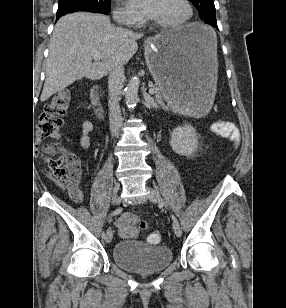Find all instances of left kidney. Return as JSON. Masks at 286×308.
<instances>
[{"mask_svg": "<svg viewBox=\"0 0 286 308\" xmlns=\"http://www.w3.org/2000/svg\"><path fill=\"white\" fill-rule=\"evenodd\" d=\"M170 146L179 155H192L198 147L196 130L190 124L178 126L171 133Z\"/></svg>", "mask_w": 286, "mask_h": 308, "instance_id": "obj_1", "label": "left kidney"}]
</instances>
